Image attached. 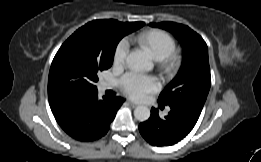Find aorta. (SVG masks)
I'll return each mask as SVG.
<instances>
[{"label":"aorta","mask_w":261,"mask_h":162,"mask_svg":"<svg viewBox=\"0 0 261 162\" xmlns=\"http://www.w3.org/2000/svg\"><path fill=\"white\" fill-rule=\"evenodd\" d=\"M126 64L133 71H150L152 63L149 58L140 51L131 52L126 58ZM134 116L138 121L144 122L150 117V109L147 106H137L134 110Z\"/></svg>","instance_id":"1"}]
</instances>
